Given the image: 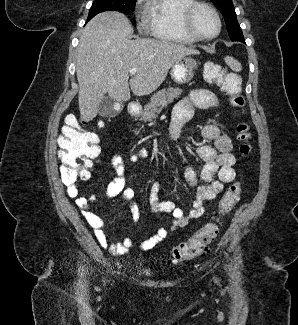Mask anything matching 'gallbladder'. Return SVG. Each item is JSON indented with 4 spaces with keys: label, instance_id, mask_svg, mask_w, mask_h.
Returning <instances> with one entry per match:
<instances>
[{
    "label": "gallbladder",
    "instance_id": "gallbladder-1",
    "mask_svg": "<svg viewBox=\"0 0 298 325\" xmlns=\"http://www.w3.org/2000/svg\"><path fill=\"white\" fill-rule=\"evenodd\" d=\"M100 116H116L118 114L117 102H115L112 96H104L99 102Z\"/></svg>",
    "mask_w": 298,
    "mask_h": 325
}]
</instances>
